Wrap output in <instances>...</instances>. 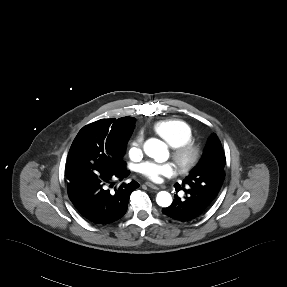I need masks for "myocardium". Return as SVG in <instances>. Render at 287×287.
Returning a JSON list of instances; mask_svg holds the SVG:
<instances>
[{"instance_id":"myocardium-1","label":"myocardium","mask_w":287,"mask_h":287,"mask_svg":"<svg viewBox=\"0 0 287 287\" xmlns=\"http://www.w3.org/2000/svg\"><path fill=\"white\" fill-rule=\"evenodd\" d=\"M173 159L182 172L193 169L201 158V149L193 141L186 142L173 149Z\"/></svg>"}]
</instances>
